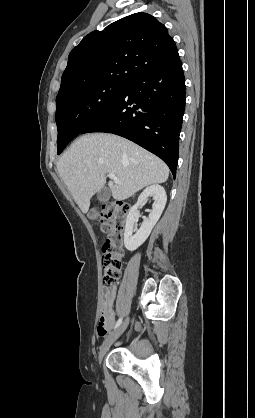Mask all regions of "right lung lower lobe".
I'll return each mask as SVG.
<instances>
[{
	"instance_id": "98d812e1",
	"label": "right lung lower lobe",
	"mask_w": 255,
	"mask_h": 418,
	"mask_svg": "<svg viewBox=\"0 0 255 418\" xmlns=\"http://www.w3.org/2000/svg\"><path fill=\"white\" fill-rule=\"evenodd\" d=\"M180 58L133 79L81 134L107 132L125 137L160 157L174 178L185 108Z\"/></svg>"
}]
</instances>
